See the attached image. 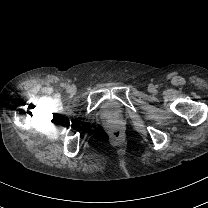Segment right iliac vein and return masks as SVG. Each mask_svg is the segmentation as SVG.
Wrapping results in <instances>:
<instances>
[{
  "label": "right iliac vein",
  "instance_id": "obj_1",
  "mask_svg": "<svg viewBox=\"0 0 208 208\" xmlns=\"http://www.w3.org/2000/svg\"><path fill=\"white\" fill-rule=\"evenodd\" d=\"M68 92L71 95H74L76 93V87L75 86H70L69 89H68Z\"/></svg>",
  "mask_w": 208,
  "mask_h": 208
}]
</instances>
